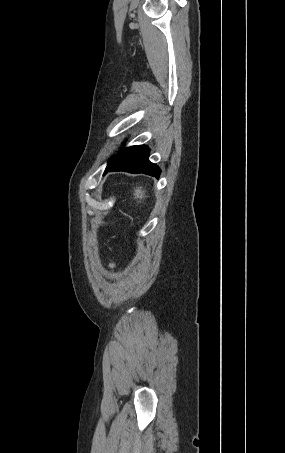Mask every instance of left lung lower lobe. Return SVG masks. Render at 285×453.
Segmentation results:
<instances>
[{
    "label": "left lung lower lobe",
    "instance_id": "left-lung-lower-lobe-1",
    "mask_svg": "<svg viewBox=\"0 0 285 453\" xmlns=\"http://www.w3.org/2000/svg\"><path fill=\"white\" fill-rule=\"evenodd\" d=\"M149 148L145 145L131 146L121 149L118 154L112 157L106 167L104 174L108 171H126L130 173H144L156 178L160 175V169L149 160Z\"/></svg>",
    "mask_w": 285,
    "mask_h": 453
}]
</instances>
